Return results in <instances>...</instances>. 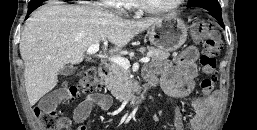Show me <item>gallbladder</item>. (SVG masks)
I'll return each mask as SVG.
<instances>
[{
	"instance_id": "gallbladder-1",
	"label": "gallbladder",
	"mask_w": 257,
	"mask_h": 130,
	"mask_svg": "<svg viewBox=\"0 0 257 130\" xmlns=\"http://www.w3.org/2000/svg\"><path fill=\"white\" fill-rule=\"evenodd\" d=\"M75 71L74 67L72 66H64L63 68L60 69L59 74L62 76H69L73 74Z\"/></svg>"
}]
</instances>
